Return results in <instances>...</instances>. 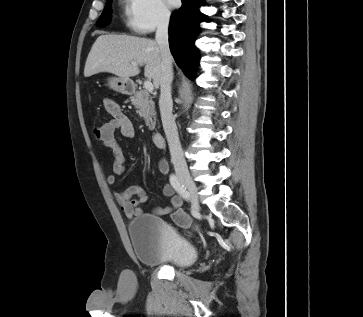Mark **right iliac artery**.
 <instances>
[{"mask_svg": "<svg viewBox=\"0 0 363 317\" xmlns=\"http://www.w3.org/2000/svg\"><path fill=\"white\" fill-rule=\"evenodd\" d=\"M170 183L173 186V188L177 191V193L180 196H182L185 200L189 198V194L186 190V187H184V185L179 182L178 178L174 174L170 176Z\"/></svg>", "mask_w": 363, "mask_h": 317, "instance_id": "obj_1", "label": "right iliac artery"}]
</instances>
